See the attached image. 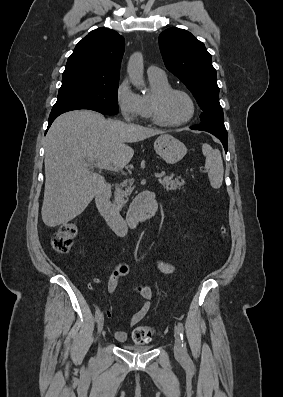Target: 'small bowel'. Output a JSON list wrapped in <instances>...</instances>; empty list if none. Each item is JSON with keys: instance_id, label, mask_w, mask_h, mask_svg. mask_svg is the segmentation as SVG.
Returning <instances> with one entry per match:
<instances>
[{"instance_id": "c3829d8e", "label": "small bowel", "mask_w": 283, "mask_h": 397, "mask_svg": "<svg viewBox=\"0 0 283 397\" xmlns=\"http://www.w3.org/2000/svg\"><path fill=\"white\" fill-rule=\"evenodd\" d=\"M158 267L164 273H170L174 270V267L167 261H159ZM130 272V266L127 263H122L116 267L113 271L109 283H108V291L110 293H114L117 291L120 280L125 277ZM94 282L98 283V280H94ZM134 291L143 299V302L139 309L131 316L128 321V325L130 327L136 325L140 321H142L145 316L148 314L151 307V300L153 299L154 292L153 289L149 286L137 285L134 287ZM107 315L111 316L112 310L111 308H107ZM114 338L119 342H124L127 339V332L123 330H116L114 332Z\"/></svg>"}]
</instances>
